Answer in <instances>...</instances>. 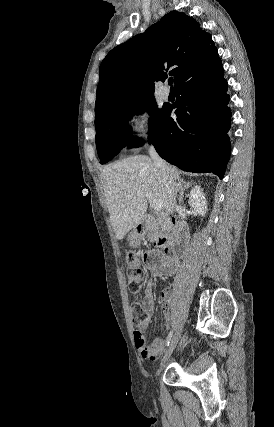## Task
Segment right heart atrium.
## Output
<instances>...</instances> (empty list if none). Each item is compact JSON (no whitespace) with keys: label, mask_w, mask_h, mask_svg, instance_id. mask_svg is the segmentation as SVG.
Here are the masks:
<instances>
[{"label":"right heart atrium","mask_w":274,"mask_h":427,"mask_svg":"<svg viewBox=\"0 0 274 427\" xmlns=\"http://www.w3.org/2000/svg\"><path fill=\"white\" fill-rule=\"evenodd\" d=\"M124 136L127 144L138 149L151 138L150 115L146 108L137 107L129 110L123 122Z\"/></svg>","instance_id":"right-heart-atrium-1"}]
</instances>
